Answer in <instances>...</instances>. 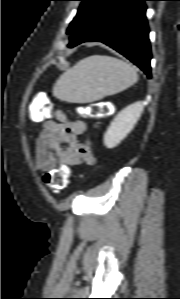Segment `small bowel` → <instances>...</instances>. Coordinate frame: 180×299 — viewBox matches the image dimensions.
Masks as SVG:
<instances>
[{
  "label": "small bowel",
  "instance_id": "1",
  "mask_svg": "<svg viewBox=\"0 0 180 299\" xmlns=\"http://www.w3.org/2000/svg\"><path fill=\"white\" fill-rule=\"evenodd\" d=\"M42 121L43 128L35 143L34 165L39 172H50L60 165H94L90 137L80 141V136L87 132L86 123L80 119H71L58 110L53 118L34 117Z\"/></svg>",
  "mask_w": 180,
  "mask_h": 299
}]
</instances>
